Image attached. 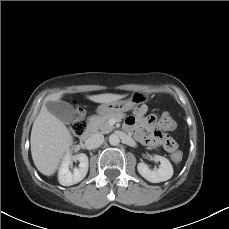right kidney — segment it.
Returning a JSON list of instances; mask_svg holds the SVG:
<instances>
[{
	"label": "right kidney",
	"mask_w": 229,
	"mask_h": 229,
	"mask_svg": "<svg viewBox=\"0 0 229 229\" xmlns=\"http://www.w3.org/2000/svg\"><path fill=\"white\" fill-rule=\"evenodd\" d=\"M73 160H78L80 163L79 168H74L73 172H71L69 168ZM88 166V157L86 154L80 153L72 158L68 152L65 155L58 171L59 183L63 186H71L79 183L85 178L88 172Z\"/></svg>",
	"instance_id": "1"
}]
</instances>
